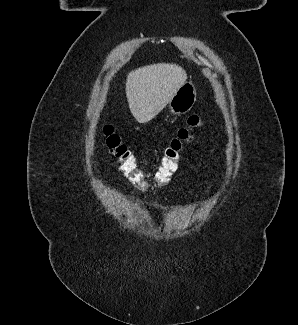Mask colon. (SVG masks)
I'll return each instance as SVG.
<instances>
[{
    "instance_id": "obj_1",
    "label": "colon",
    "mask_w": 298,
    "mask_h": 325,
    "mask_svg": "<svg viewBox=\"0 0 298 325\" xmlns=\"http://www.w3.org/2000/svg\"><path fill=\"white\" fill-rule=\"evenodd\" d=\"M202 125L201 116L191 115L187 124L181 127L176 136L169 142L160 159L159 166L155 172V182L158 187L168 184L171 176L178 167L180 156L185 144L192 141L193 130ZM105 143L111 155L117 160L121 173L130 181V183L141 191L149 188L148 178L145 172L140 168L136 157L131 150L122 143L119 135L110 125L105 126Z\"/></svg>"
}]
</instances>
